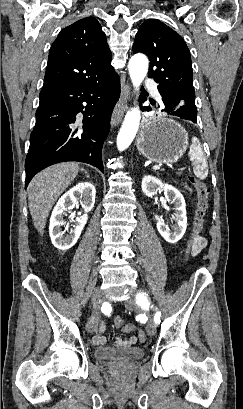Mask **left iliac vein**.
Listing matches in <instances>:
<instances>
[{"label": "left iliac vein", "instance_id": "1", "mask_svg": "<svg viewBox=\"0 0 243 409\" xmlns=\"http://www.w3.org/2000/svg\"><path fill=\"white\" fill-rule=\"evenodd\" d=\"M126 306H127L128 308H133V307L135 306V300H133V299L127 300V301H126ZM146 330H147L148 335H150V336L155 335V333H156V325H155V323H154V321H153L152 319L149 320V322H148V324H147V327H146Z\"/></svg>", "mask_w": 243, "mask_h": 409}]
</instances>
